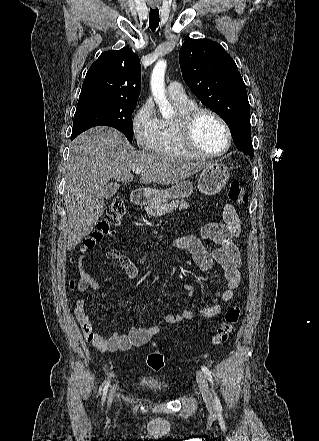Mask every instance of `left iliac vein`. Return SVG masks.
Returning a JSON list of instances; mask_svg holds the SVG:
<instances>
[{"instance_id": "obj_1", "label": "left iliac vein", "mask_w": 319, "mask_h": 441, "mask_svg": "<svg viewBox=\"0 0 319 441\" xmlns=\"http://www.w3.org/2000/svg\"><path fill=\"white\" fill-rule=\"evenodd\" d=\"M196 379L207 408L210 411L214 412L215 404L206 377L203 375L202 372L197 371Z\"/></svg>"}]
</instances>
